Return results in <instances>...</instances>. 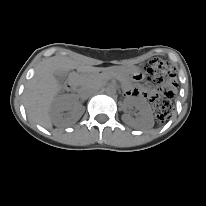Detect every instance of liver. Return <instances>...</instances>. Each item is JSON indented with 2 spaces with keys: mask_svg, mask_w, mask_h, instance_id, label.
<instances>
[{
  "mask_svg": "<svg viewBox=\"0 0 206 206\" xmlns=\"http://www.w3.org/2000/svg\"><path fill=\"white\" fill-rule=\"evenodd\" d=\"M84 71V66L66 56H53L42 61L36 68L35 75L28 81L24 91V102L27 116L41 125L67 126L75 123L82 112L73 111L70 115L52 114L51 108L56 100L61 84L55 78L57 70Z\"/></svg>",
  "mask_w": 206,
  "mask_h": 206,
  "instance_id": "1",
  "label": "liver"
}]
</instances>
